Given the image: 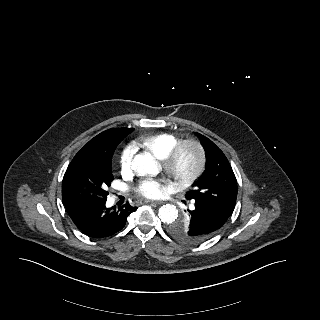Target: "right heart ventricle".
<instances>
[{"instance_id":"obj_1","label":"right heart ventricle","mask_w":320,"mask_h":320,"mask_svg":"<svg viewBox=\"0 0 320 320\" xmlns=\"http://www.w3.org/2000/svg\"><path fill=\"white\" fill-rule=\"evenodd\" d=\"M178 141L179 138L174 134L157 132L143 137L139 144L158 159H164Z\"/></svg>"}]
</instances>
